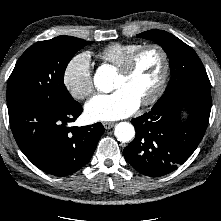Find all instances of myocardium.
I'll return each instance as SVG.
<instances>
[{
    "mask_svg": "<svg viewBox=\"0 0 221 221\" xmlns=\"http://www.w3.org/2000/svg\"><path fill=\"white\" fill-rule=\"evenodd\" d=\"M149 49L156 50L160 54L162 59V71L155 89L147 98H145L140 102L141 106H148L155 103L160 98V96L162 95L165 89L170 69V62L167 52L159 44L156 43L144 44L140 46L138 49H136L133 53H131L124 61V63L118 68V72L121 73L122 75H129L133 71L135 64L138 58L140 57V55Z\"/></svg>",
    "mask_w": 221,
    "mask_h": 221,
    "instance_id": "1",
    "label": "myocardium"
}]
</instances>
